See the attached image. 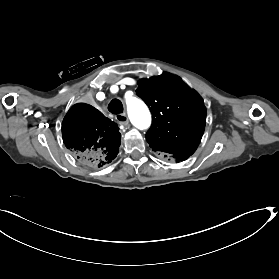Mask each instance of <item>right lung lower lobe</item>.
Returning <instances> with one entry per match:
<instances>
[{"mask_svg": "<svg viewBox=\"0 0 279 279\" xmlns=\"http://www.w3.org/2000/svg\"><path fill=\"white\" fill-rule=\"evenodd\" d=\"M62 136L73 157L89 168L111 163L121 143L115 122L85 103L75 104L67 112L62 122Z\"/></svg>", "mask_w": 279, "mask_h": 279, "instance_id": "obj_1", "label": "right lung lower lobe"}]
</instances>
